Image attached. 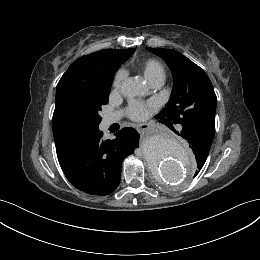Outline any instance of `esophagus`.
Wrapping results in <instances>:
<instances>
[{
  "mask_svg": "<svg viewBox=\"0 0 260 260\" xmlns=\"http://www.w3.org/2000/svg\"><path fill=\"white\" fill-rule=\"evenodd\" d=\"M136 127L139 131H147L150 128V125L147 123H139Z\"/></svg>",
  "mask_w": 260,
  "mask_h": 260,
  "instance_id": "obj_1",
  "label": "esophagus"
}]
</instances>
